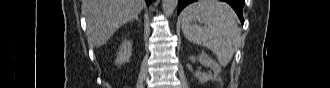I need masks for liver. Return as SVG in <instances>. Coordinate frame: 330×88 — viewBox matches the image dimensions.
I'll list each match as a JSON object with an SVG mask.
<instances>
[{
	"mask_svg": "<svg viewBox=\"0 0 330 88\" xmlns=\"http://www.w3.org/2000/svg\"><path fill=\"white\" fill-rule=\"evenodd\" d=\"M145 6L144 0H82L88 40L96 47L104 45L125 23Z\"/></svg>",
	"mask_w": 330,
	"mask_h": 88,
	"instance_id": "liver-1",
	"label": "liver"
}]
</instances>
